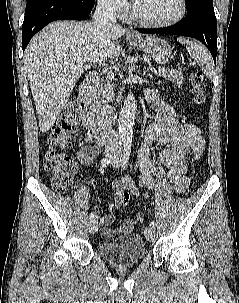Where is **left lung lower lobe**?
<instances>
[{"mask_svg":"<svg viewBox=\"0 0 239 303\" xmlns=\"http://www.w3.org/2000/svg\"><path fill=\"white\" fill-rule=\"evenodd\" d=\"M146 34H174L196 38L201 41L211 52L216 61V17L214 8H201L188 14L174 26L159 29H137Z\"/></svg>","mask_w":239,"mask_h":303,"instance_id":"left-lung-lower-lobe-1","label":"left lung lower lobe"}]
</instances>
